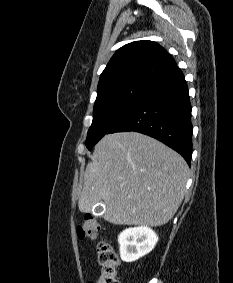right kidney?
Wrapping results in <instances>:
<instances>
[{
	"label": "right kidney",
	"mask_w": 233,
	"mask_h": 283,
	"mask_svg": "<svg viewBox=\"0 0 233 283\" xmlns=\"http://www.w3.org/2000/svg\"><path fill=\"white\" fill-rule=\"evenodd\" d=\"M157 241L158 236L147 226L127 228L118 236L121 259L136 261L151 252Z\"/></svg>",
	"instance_id": "1"
}]
</instances>
